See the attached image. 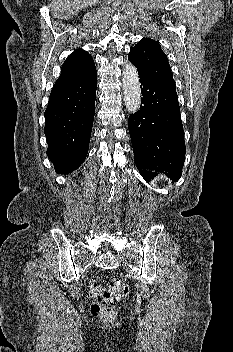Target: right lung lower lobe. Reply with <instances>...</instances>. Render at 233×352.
Masks as SVG:
<instances>
[{
	"mask_svg": "<svg viewBox=\"0 0 233 352\" xmlns=\"http://www.w3.org/2000/svg\"><path fill=\"white\" fill-rule=\"evenodd\" d=\"M96 68L76 79L55 83L45 111L47 155L57 173L68 174L85 160L93 125Z\"/></svg>",
	"mask_w": 233,
	"mask_h": 352,
	"instance_id": "obj_1",
	"label": "right lung lower lobe"
}]
</instances>
